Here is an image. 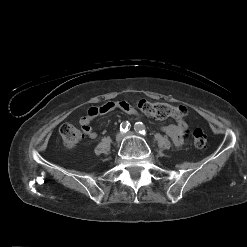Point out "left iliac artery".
<instances>
[{
    "label": "left iliac artery",
    "instance_id": "obj_1",
    "mask_svg": "<svg viewBox=\"0 0 247 247\" xmlns=\"http://www.w3.org/2000/svg\"><path fill=\"white\" fill-rule=\"evenodd\" d=\"M145 129H146V128H145V126H144V124H143L142 122H137V123H135V125H134V130H135L136 132L140 133V134L145 135V134H146V130H145Z\"/></svg>",
    "mask_w": 247,
    "mask_h": 247
}]
</instances>
